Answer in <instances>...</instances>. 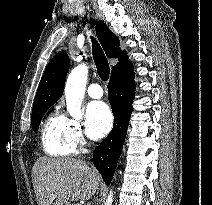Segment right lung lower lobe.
I'll list each match as a JSON object with an SVG mask.
<instances>
[{
    "mask_svg": "<svg viewBox=\"0 0 212 205\" xmlns=\"http://www.w3.org/2000/svg\"><path fill=\"white\" fill-rule=\"evenodd\" d=\"M134 69L131 62L111 72L108 84L109 102L114 126L93 153L94 166L109 185L120 157L132 113L134 99Z\"/></svg>",
    "mask_w": 212,
    "mask_h": 205,
    "instance_id": "98d812e1",
    "label": "right lung lower lobe"
}]
</instances>
